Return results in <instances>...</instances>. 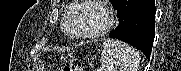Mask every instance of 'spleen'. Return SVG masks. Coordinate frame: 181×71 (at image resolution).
<instances>
[{
	"label": "spleen",
	"mask_w": 181,
	"mask_h": 71,
	"mask_svg": "<svg viewBox=\"0 0 181 71\" xmlns=\"http://www.w3.org/2000/svg\"><path fill=\"white\" fill-rule=\"evenodd\" d=\"M101 71H138L139 53L120 41L106 40L100 56Z\"/></svg>",
	"instance_id": "obj_1"
}]
</instances>
